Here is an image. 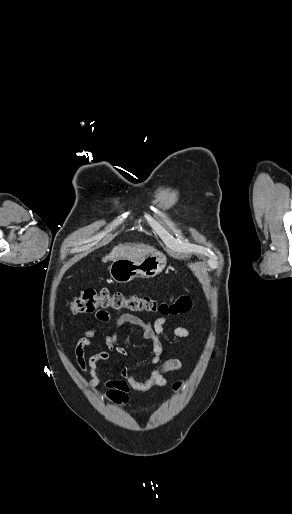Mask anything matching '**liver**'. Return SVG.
<instances>
[{"instance_id":"1","label":"liver","mask_w":292,"mask_h":514,"mask_svg":"<svg viewBox=\"0 0 292 514\" xmlns=\"http://www.w3.org/2000/svg\"><path fill=\"white\" fill-rule=\"evenodd\" d=\"M151 252H154V248H151V246H145V244H120V246H115L113 248L111 254L109 256H106L104 258L103 262L105 260H120V258H127V260H139V258H142V256H146V254H151Z\"/></svg>"}]
</instances>
